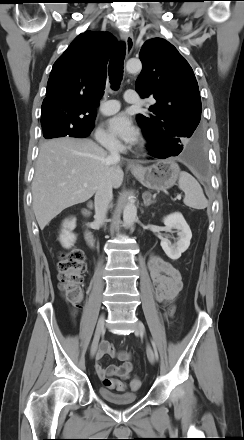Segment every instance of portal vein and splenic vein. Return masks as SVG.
I'll list each match as a JSON object with an SVG mask.
<instances>
[{
	"label": "portal vein and splenic vein",
	"instance_id": "portal-vein-and-splenic-vein-1",
	"mask_svg": "<svg viewBox=\"0 0 244 440\" xmlns=\"http://www.w3.org/2000/svg\"><path fill=\"white\" fill-rule=\"evenodd\" d=\"M87 186H88L87 184H84V187H87ZM177 198H178V199H181V196L178 195Z\"/></svg>",
	"mask_w": 244,
	"mask_h": 440
}]
</instances>
